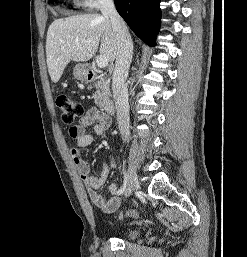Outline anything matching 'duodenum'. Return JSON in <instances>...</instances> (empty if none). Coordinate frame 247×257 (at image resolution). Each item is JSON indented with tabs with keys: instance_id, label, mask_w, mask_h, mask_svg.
Returning <instances> with one entry per match:
<instances>
[{
	"instance_id": "410a0bca",
	"label": "duodenum",
	"mask_w": 247,
	"mask_h": 257,
	"mask_svg": "<svg viewBox=\"0 0 247 257\" xmlns=\"http://www.w3.org/2000/svg\"><path fill=\"white\" fill-rule=\"evenodd\" d=\"M86 78L88 81H94L97 78V74L95 73L94 70L88 68L86 70ZM103 110L108 115H112L115 112L114 102L112 100L105 101L103 104Z\"/></svg>"
}]
</instances>
